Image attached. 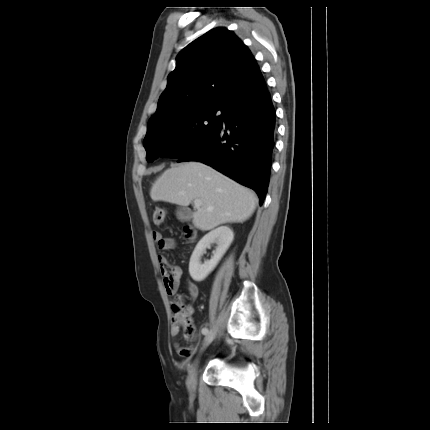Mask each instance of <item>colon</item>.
<instances>
[{"instance_id": "obj_1", "label": "colon", "mask_w": 430, "mask_h": 430, "mask_svg": "<svg viewBox=\"0 0 430 430\" xmlns=\"http://www.w3.org/2000/svg\"><path fill=\"white\" fill-rule=\"evenodd\" d=\"M165 216V211L161 208H157L153 213V220L156 224H162L165 220ZM171 311L173 319L177 322L179 327L183 328L185 337L187 339L191 338L195 332L191 310L186 307L183 300L178 297L171 303Z\"/></svg>"}]
</instances>
